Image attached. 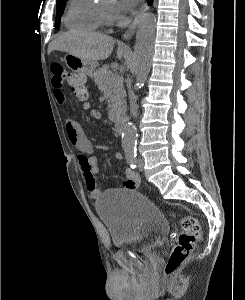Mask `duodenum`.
<instances>
[{
  "label": "duodenum",
  "instance_id": "duodenum-1",
  "mask_svg": "<svg viewBox=\"0 0 245 300\" xmlns=\"http://www.w3.org/2000/svg\"><path fill=\"white\" fill-rule=\"evenodd\" d=\"M118 131L123 132L126 126V119L123 116H116L114 119Z\"/></svg>",
  "mask_w": 245,
  "mask_h": 300
}]
</instances>
